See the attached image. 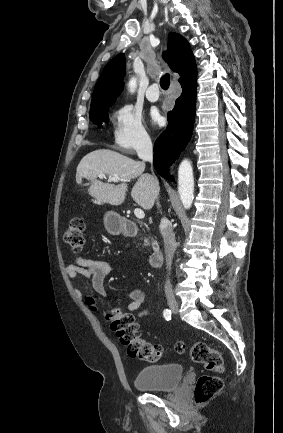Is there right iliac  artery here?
I'll return each instance as SVG.
<instances>
[{"mask_svg": "<svg viewBox=\"0 0 283 433\" xmlns=\"http://www.w3.org/2000/svg\"><path fill=\"white\" fill-rule=\"evenodd\" d=\"M163 316H164V318H165L167 321L171 320V310H170V309H165V310L163 311Z\"/></svg>", "mask_w": 283, "mask_h": 433, "instance_id": "obj_1", "label": "right iliac artery"}]
</instances>
